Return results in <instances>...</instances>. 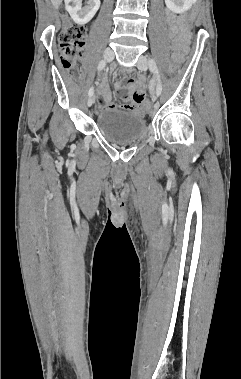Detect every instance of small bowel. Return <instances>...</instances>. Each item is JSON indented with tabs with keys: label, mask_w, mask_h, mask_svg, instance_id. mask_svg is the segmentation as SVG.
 I'll return each mask as SVG.
<instances>
[{
	"label": "small bowel",
	"mask_w": 241,
	"mask_h": 379,
	"mask_svg": "<svg viewBox=\"0 0 241 379\" xmlns=\"http://www.w3.org/2000/svg\"><path fill=\"white\" fill-rule=\"evenodd\" d=\"M167 19L170 25V29L173 33H179L177 38V44L179 49H183L182 37L187 30V23L183 16H175L172 13H168ZM115 88L124 100L122 108L132 111L141 112L146 108L143 104L144 99V85L142 82L131 83L129 87H126L121 81L115 83ZM98 94L100 98L101 108H115V105L111 103V91L105 80H102L98 86Z\"/></svg>",
	"instance_id": "c3829d8e"
}]
</instances>
